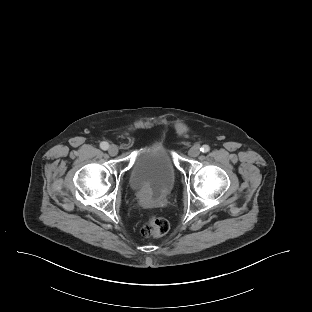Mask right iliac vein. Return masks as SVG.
I'll return each instance as SVG.
<instances>
[{"mask_svg": "<svg viewBox=\"0 0 312 312\" xmlns=\"http://www.w3.org/2000/svg\"><path fill=\"white\" fill-rule=\"evenodd\" d=\"M108 152L111 156H115L118 154V147L116 145H110Z\"/></svg>", "mask_w": 312, "mask_h": 312, "instance_id": "right-iliac-vein-1", "label": "right iliac vein"}]
</instances>
